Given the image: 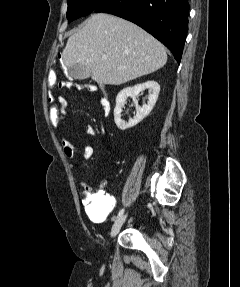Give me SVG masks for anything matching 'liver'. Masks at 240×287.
Here are the masks:
<instances>
[{
	"label": "liver",
	"mask_w": 240,
	"mask_h": 287,
	"mask_svg": "<svg viewBox=\"0 0 240 287\" xmlns=\"http://www.w3.org/2000/svg\"><path fill=\"white\" fill-rule=\"evenodd\" d=\"M62 62L68 68L86 65L97 83L121 85L162 68L167 54L163 45L139 26L99 13L69 37Z\"/></svg>",
	"instance_id": "6515ba94"
}]
</instances>
